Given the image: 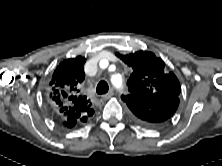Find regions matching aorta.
<instances>
[{"instance_id":"1","label":"aorta","mask_w":222,"mask_h":166,"mask_svg":"<svg viewBox=\"0 0 222 166\" xmlns=\"http://www.w3.org/2000/svg\"><path fill=\"white\" fill-rule=\"evenodd\" d=\"M112 83H113L116 87H120V86H121V83H122L121 77H120L119 75L113 76V77H112Z\"/></svg>"}]
</instances>
